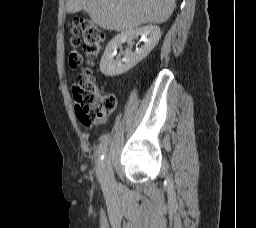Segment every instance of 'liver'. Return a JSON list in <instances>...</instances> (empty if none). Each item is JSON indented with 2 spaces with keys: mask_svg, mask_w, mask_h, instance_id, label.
<instances>
[{
  "mask_svg": "<svg viewBox=\"0 0 256 228\" xmlns=\"http://www.w3.org/2000/svg\"><path fill=\"white\" fill-rule=\"evenodd\" d=\"M175 0H66L68 13L84 11L105 30L128 31L146 23L166 22Z\"/></svg>",
  "mask_w": 256,
  "mask_h": 228,
  "instance_id": "1",
  "label": "liver"
}]
</instances>
